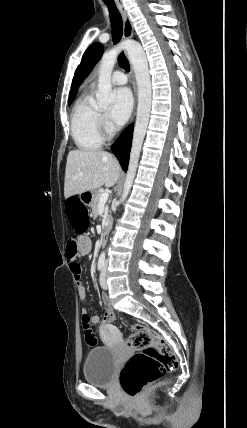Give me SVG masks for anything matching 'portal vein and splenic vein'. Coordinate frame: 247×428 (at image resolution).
I'll return each instance as SVG.
<instances>
[{
  "mask_svg": "<svg viewBox=\"0 0 247 428\" xmlns=\"http://www.w3.org/2000/svg\"><path fill=\"white\" fill-rule=\"evenodd\" d=\"M109 197V193L108 192H103L100 196V204H105L108 200Z\"/></svg>",
  "mask_w": 247,
  "mask_h": 428,
  "instance_id": "1",
  "label": "portal vein and splenic vein"
}]
</instances>
